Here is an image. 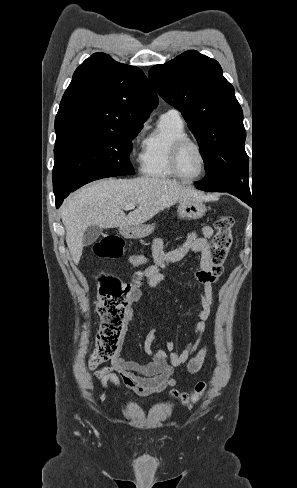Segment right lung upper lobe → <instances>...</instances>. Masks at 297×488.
<instances>
[{"mask_svg":"<svg viewBox=\"0 0 297 488\" xmlns=\"http://www.w3.org/2000/svg\"><path fill=\"white\" fill-rule=\"evenodd\" d=\"M157 103L142 70L95 53L76 69L63 95L56 135L140 126Z\"/></svg>","mask_w":297,"mask_h":488,"instance_id":"cb5924a9","label":"right lung upper lobe"}]
</instances>
